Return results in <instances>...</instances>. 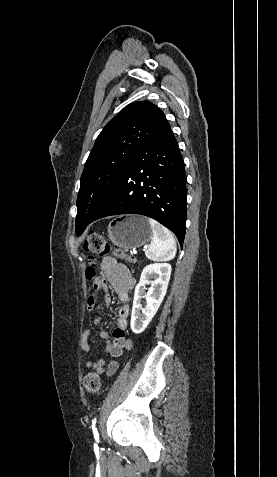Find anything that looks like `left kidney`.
I'll use <instances>...</instances> for the list:
<instances>
[{"label":"left kidney","mask_w":277,"mask_h":477,"mask_svg":"<svg viewBox=\"0 0 277 477\" xmlns=\"http://www.w3.org/2000/svg\"><path fill=\"white\" fill-rule=\"evenodd\" d=\"M170 275L171 265L168 263H154L143 269L140 282L134 292L130 322L131 329L135 334L142 333L158 311L166 294ZM149 283H151V287L145 292V286ZM142 298L147 301L145 308H142L141 305Z\"/></svg>","instance_id":"obj_1"}]
</instances>
